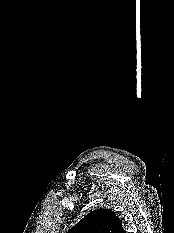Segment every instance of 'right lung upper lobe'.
<instances>
[{"label": "right lung upper lobe", "instance_id": "obj_1", "mask_svg": "<svg viewBox=\"0 0 174 233\" xmlns=\"http://www.w3.org/2000/svg\"><path fill=\"white\" fill-rule=\"evenodd\" d=\"M67 233H125L120 219L109 209L88 213Z\"/></svg>", "mask_w": 174, "mask_h": 233}]
</instances>
